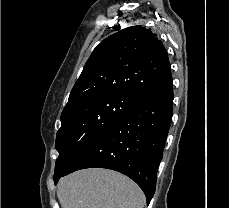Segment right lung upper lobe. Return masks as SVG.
<instances>
[{
	"label": "right lung upper lobe",
	"instance_id": "1",
	"mask_svg": "<svg viewBox=\"0 0 229 208\" xmlns=\"http://www.w3.org/2000/svg\"><path fill=\"white\" fill-rule=\"evenodd\" d=\"M171 82L168 53L157 35L141 25L128 27L93 50L61 116L99 96L119 94L141 101Z\"/></svg>",
	"mask_w": 229,
	"mask_h": 208
}]
</instances>
